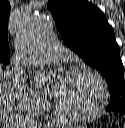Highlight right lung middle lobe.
Listing matches in <instances>:
<instances>
[{"label": "right lung middle lobe", "instance_id": "right-lung-middle-lobe-1", "mask_svg": "<svg viewBox=\"0 0 125 128\" xmlns=\"http://www.w3.org/2000/svg\"><path fill=\"white\" fill-rule=\"evenodd\" d=\"M10 59L9 58H0V65H8ZM4 69V67H3Z\"/></svg>", "mask_w": 125, "mask_h": 128}]
</instances>
